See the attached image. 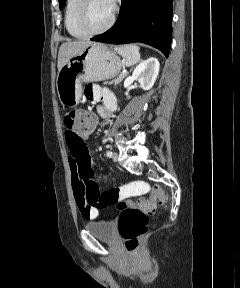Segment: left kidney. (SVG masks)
<instances>
[{"instance_id": "1", "label": "left kidney", "mask_w": 240, "mask_h": 288, "mask_svg": "<svg viewBox=\"0 0 240 288\" xmlns=\"http://www.w3.org/2000/svg\"><path fill=\"white\" fill-rule=\"evenodd\" d=\"M159 61L155 57H150L141 62L133 71L132 75L124 81V87L130 86L137 81L143 90H150L159 73Z\"/></svg>"}]
</instances>
